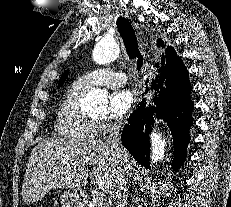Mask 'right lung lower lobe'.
Listing matches in <instances>:
<instances>
[{
  "label": "right lung lower lobe",
  "mask_w": 231,
  "mask_h": 207,
  "mask_svg": "<svg viewBox=\"0 0 231 207\" xmlns=\"http://www.w3.org/2000/svg\"><path fill=\"white\" fill-rule=\"evenodd\" d=\"M158 70L159 74L152 82L155 90L153 105L141 102L134 110L122 131L121 139L125 148L139 164L148 168V135L154 125V117L167 123L173 139L172 167L178 170L186 158V148L190 141L189 130L193 123V102L190 99L191 86L188 71L182 60L176 56H165Z\"/></svg>",
  "instance_id": "98d812e1"
}]
</instances>
